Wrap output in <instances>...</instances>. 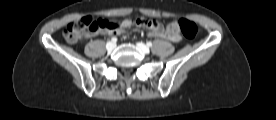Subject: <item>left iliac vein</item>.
<instances>
[{"instance_id": "4c4485c4", "label": "left iliac vein", "mask_w": 276, "mask_h": 120, "mask_svg": "<svg viewBox=\"0 0 276 120\" xmlns=\"http://www.w3.org/2000/svg\"><path fill=\"white\" fill-rule=\"evenodd\" d=\"M137 47L145 54H148L150 52V49L141 42L137 43Z\"/></svg>"}]
</instances>
